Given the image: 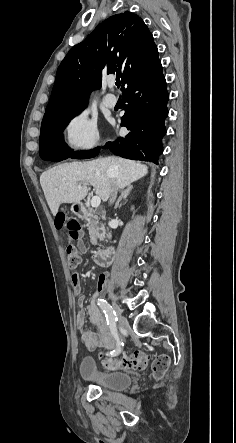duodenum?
Masks as SVG:
<instances>
[{
    "label": "duodenum",
    "instance_id": "duodenum-1",
    "mask_svg": "<svg viewBox=\"0 0 236 443\" xmlns=\"http://www.w3.org/2000/svg\"><path fill=\"white\" fill-rule=\"evenodd\" d=\"M75 211L80 217H85L91 212L90 208L85 205L76 206ZM112 258V248H107L93 253V260L98 266H109L112 263Z\"/></svg>",
    "mask_w": 236,
    "mask_h": 443
}]
</instances>
